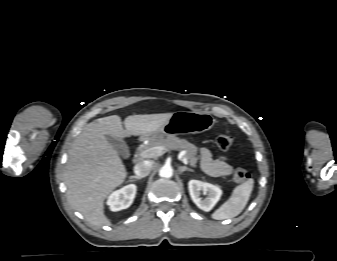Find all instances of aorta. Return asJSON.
Segmentation results:
<instances>
[{"label":"aorta","mask_w":337,"mask_h":261,"mask_svg":"<svg viewBox=\"0 0 337 261\" xmlns=\"http://www.w3.org/2000/svg\"><path fill=\"white\" fill-rule=\"evenodd\" d=\"M159 175L160 177L163 178H170L173 175V169L171 166L169 165H165L163 166L160 170H159Z\"/></svg>","instance_id":"762f6f07"}]
</instances>
